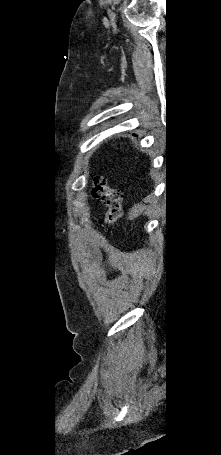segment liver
I'll return each instance as SVG.
<instances>
[{"label":"liver","instance_id":"obj_1","mask_svg":"<svg viewBox=\"0 0 221 455\" xmlns=\"http://www.w3.org/2000/svg\"><path fill=\"white\" fill-rule=\"evenodd\" d=\"M144 209H145V206L142 205V204L134 205V206L130 209V212L128 213V219H129V220L134 219V218L137 217L140 213H142Z\"/></svg>","mask_w":221,"mask_h":455}]
</instances>
